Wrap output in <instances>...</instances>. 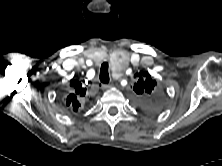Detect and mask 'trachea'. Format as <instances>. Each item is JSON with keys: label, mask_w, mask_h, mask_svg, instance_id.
Returning <instances> with one entry per match:
<instances>
[{"label": "trachea", "mask_w": 222, "mask_h": 166, "mask_svg": "<svg viewBox=\"0 0 222 166\" xmlns=\"http://www.w3.org/2000/svg\"><path fill=\"white\" fill-rule=\"evenodd\" d=\"M100 81L104 84L109 83V73H108V63L104 62L101 65V70H100Z\"/></svg>", "instance_id": "1"}]
</instances>
